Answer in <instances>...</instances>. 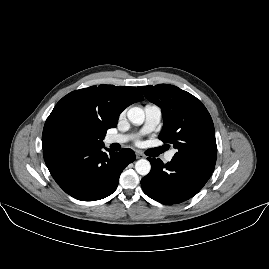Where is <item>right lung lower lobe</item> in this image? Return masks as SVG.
Segmentation results:
<instances>
[{
  "instance_id": "right-lung-lower-lobe-1",
  "label": "right lung lower lobe",
  "mask_w": 269,
  "mask_h": 269,
  "mask_svg": "<svg viewBox=\"0 0 269 269\" xmlns=\"http://www.w3.org/2000/svg\"><path fill=\"white\" fill-rule=\"evenodd\" d=\"M103 144L69 142L61 147L43 149L45 163L57 184L70 196L82 201H95L111 195L119 176L136 156L131 149L109 155Z\"/></svg>"
}]
</instances>
